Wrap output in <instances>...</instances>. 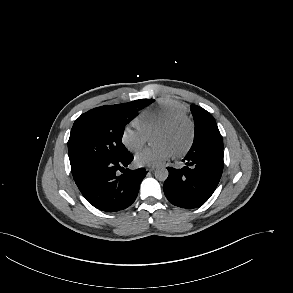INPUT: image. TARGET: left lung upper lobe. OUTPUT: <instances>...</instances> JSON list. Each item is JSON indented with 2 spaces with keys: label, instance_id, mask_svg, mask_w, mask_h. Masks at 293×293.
Returning <instances> with one entry per match:
<instances>
[{
  "label": "left lung upper lobe",
  "instance_id": "left-lung-upper-lobe-1",
  "mask_svg": "<svg viewBox=\"0 0 293 293\" xmlns=\"http://www.w3.org/2000/svg\"><path fill=\"white\" fill-rule=\"evenodd\" d=\"M191 112L195 123L194 142L191 149L200 145H212L223 150L222 136L213 116L196 105L191 106Z\"/></svg>",
  "mask_w": 293,
  "mask_h": 293
}]
</instances>
